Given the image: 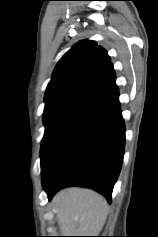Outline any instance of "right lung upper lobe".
Here are the masks:
<instances>
[{"label":"right lung upper lobe","instance_id":"1","mask_svg":"<svg viewBox=\"0 0 158 237\" xmlns=\"http://www.w3.org/2000/svg\"><path fill=\"white\" fill-rule=\"evenodd\" d=\"M94 41H80L58 62L45 101L71 100L85 104L115 84L113 65Z\"/></svg>","mask_w":158,"mask_h":237}]
</instances>
